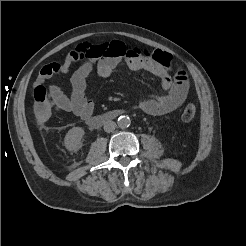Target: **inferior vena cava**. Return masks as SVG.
I'll use <instances>...</instances> for the list:
<instances>
[{"instance_id": "obj_1", "label": "inferior vena cava", "mask_w": 246, "mask_h": 246, "mask_svg": "<svg viewBox=\"0 0 246 246\" xmlns=\"http://www.w3.org/2000/svg\"><path fill=\"white\" fill-rule=\"evenodd\" d=\"M116 126L117 125H116V123L114 121H111V120L110 121H106L104 123V130H105V132L110 133V132L115 130Z\"/></svg>"}]
</instances>
